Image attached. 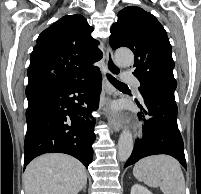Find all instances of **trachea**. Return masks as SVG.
I'll list each match as a JSON object with an SVG mask.
<instances>
[{
    "label": "trachea",
    "mask_w": 201,
    "mask_h": 194,
    "mask_svg": "<svg viewBox=\"0 0 201 194\" xmlns=\"http://www.w3.org/2000/svg\"><path fill=\"white\" fill-rule=\"evenodd\" d=\"M108 80L115 86V87H126L124 83L118 81L116 78H114L112 75L108 74L107 75Z\"/></svg>",
    "instance_id": "1"
}]
</instances>
